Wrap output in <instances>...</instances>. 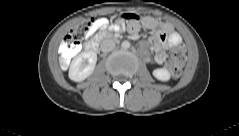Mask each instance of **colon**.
<instances>
[{
  "mask_svg": "<svg viewBox=\"0 0 239 136\" xmlns=\"http://www.w3.org/2000/svg\"><path fill=\"white\" fill-rule=\"evenodd\" d=\"M96 26L95 19H85L77 25L61 44L62 63L66 62L78 51L79 43L89 35ZM186 59V50L178 45L169 51L166 66L174 77L180 76Z\"/></svg>",
  "mask_w": 239,
  "mask_h": 136,
  "instance_id": "1",
  "label": "colon"
}]
</instances>
